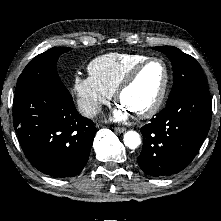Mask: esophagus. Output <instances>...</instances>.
<instances>
[{"label":"esophagus","mask_w":221,"mask_h":221,"mask_svg":"<svg viewBox=\"0 0 221 221\" xmlns=\"http://www.w3.org/2000/svg\"><path fill=\"white\" fill-rule=\"evenodd\" d=\"M114 130L118 133H123L126 129L123 127H115Z\"/></svg>","instance_id":"1"}]
</instances>
